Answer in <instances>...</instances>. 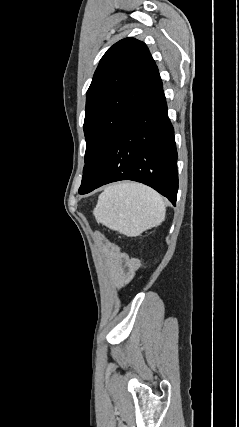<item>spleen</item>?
Here are the masks:
<instances>
[{"label": "spleen", "mask_w": 239, "mask_h": 427, "mask_svg": "<svg viewBox=\"0 0 239 427\" xmlns=\"http://www.w3.org/2000/svg\"><path fill=\"white\" fill-rule=\"evenodd\" d=\"M165 202L152 188L121 182L104 189L93 211L96 220L126 236H138L165 218Z\"/></svg>", "instance_id": "spleen-1"}]
</instances>
